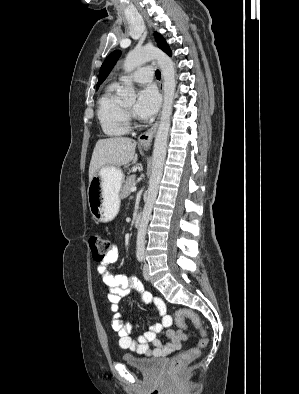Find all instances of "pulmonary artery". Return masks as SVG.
Returning <instances> with one entry per match:
<instances>
[{
    "label": "pulmonary artery",
    "instance_id": "pulmonary-artery-1",
    "mask_svg": "<svg viewBox=\"0 0 299 394\" xmlns=\"http://www.w3.org/2000/svg\"><path fill=\"white\" fill-rule=\"evenodd\" d=\"M154 76V72L150 66L139 68L133 75L132 80L136 83H148L151 82Z\"/></svg>",
    "mask_w": 299,
    "mask_h": 394
}]
</instances>
